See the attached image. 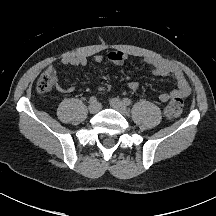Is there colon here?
Returning <instances> with one entry per match:
<instances>
[{"instance_id": "colon-1", "label": "colon", "mask_w": 216, "mask_h": 216, "mask_svg": "<svg viewBox=\"0 0 216 216\" xmlns=\"http://www.w3.org/2000/svg\"><path fill=\"white\" fill-rule=\"evenodd\" d=\"M56 83V72L53 70H46L37 81V91L46 93L53 89ZM183 110V102L179 98H175L169 102L165 109V115L169 119L178 118Z\"/></svg>"}]
</instances>
